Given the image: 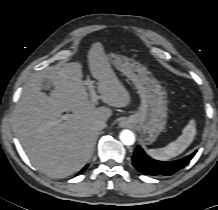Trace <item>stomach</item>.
Listing matches in <instances>:
<instances>
[{"mask_svg":"<svg viewBox=\"0 0 218 210\" xmlns=\"http://www.w3.org/2000/svg\"><path fill=\"white\" fill-rule=\"evenodd\" d=\"M109 62L131 80L141 98L138 110L127 118L145 144H152L167 122V93L153 75L141 64L109 52Z\"/></svg>","mask_w":218,"mask_h":210,"instance_id":"stomach-1","label":"stomach"}]
</instances>
